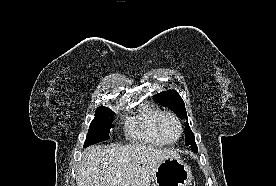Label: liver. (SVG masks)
I'll return each mask as SVG.
<instances>
[{"instance_id":"1","label":"liver","mask_w":276,"mask_h":186,"mask_svg":"<svg viewBox=\"0 0 276 186\" xmlns=\"http://www.w3.org/2000/svg\"><path fill=\"white\" fill-rule=\"evenodd\" d=\"M177 156L175 150L141 143L94 145L83 152L76 183L77 186H150L159 165Z\"/></svg>"}]
</instances>
